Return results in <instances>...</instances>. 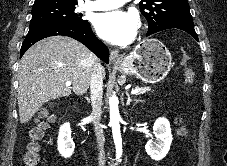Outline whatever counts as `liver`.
<instances>
[{
	"mask_svg": "<svg viewBox=\"0 0 227 166\" xmlns=\"http://www.w3.org/2000/svg\"><path fill=\"white\" fill-rule=\"evenodd\" d=\"M97 57L66 36L45 38L23 55L19 66L18 107L22 124L50 100L87 92ZM70 81L72 87L66 86Z\"/></svg>",
	"mask_w": 227,
	"mask_h": 166,
	"instance_id": "liver-1",
	"label": "liver"
}]
</instances>
